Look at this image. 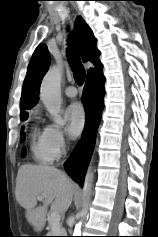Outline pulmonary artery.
<instances>
[{
    "label": "pulmonary artery",
    "instance_id": "obj_1",
    "mask_svg": "<svg viewBox=\"0 0 158 237\" xmlns=\"http://www.w3.org/2000/svg\"><path fill=\"white\" fill-rule=\"evenodd\" d=\"M64 93L67 97L74 98L77 95V90L73 86H70L65 89Z\"/></svg>",
    "mask_w": 158,
    "mask_h": 237
}]
</instances>
